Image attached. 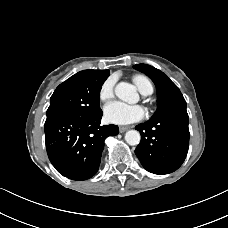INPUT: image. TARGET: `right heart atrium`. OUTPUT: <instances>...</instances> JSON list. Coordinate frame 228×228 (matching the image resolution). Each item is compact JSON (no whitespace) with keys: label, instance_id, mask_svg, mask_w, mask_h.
Masks as SVG:
<instances>
[{"label":"right heart atrium","instance_id":"1","mask_svg":"<svg viewBox=\"0 0 228 228\" xmlns=\"http://www.w3.org/2000/svg\"><path fill=\"white\" fill-rule=\"evenodd\" d=\"M115 82H116L115 77L110 76L102 83L99 90V99L102 102H106L113 97Z\"/></svg>","mask_w":228,"mask_h":228}]
</instances>
